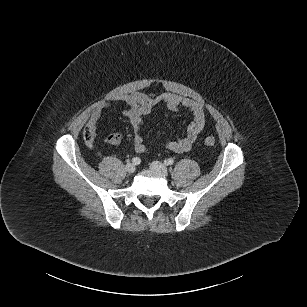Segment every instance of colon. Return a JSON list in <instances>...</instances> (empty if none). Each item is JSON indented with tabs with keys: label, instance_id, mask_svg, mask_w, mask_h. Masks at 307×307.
Returning <instances> with one entry per match:
<instances>
[{
	"label": "colon",
	"instance_id": "obj_1",
	"mask_svg": "<svg viewBox=\"0 0 307 307\" xmlns=\"http://www.w3.org/2000/svg\"><path fill=\"white\" fill-rule=\"evenodd\" d=\"M84 139L87 143H92L94 140V132L88 127H86L84 131ZM120 140H121V136L118 133L111 134L107 138V142L113 145L118 144ZM215 142H216L215 138L212 136H207L204 139V143L207 146H213Z\"/></svg>",
	"mask_w": 307,
	"mask_h": 307
}]
</instances>
